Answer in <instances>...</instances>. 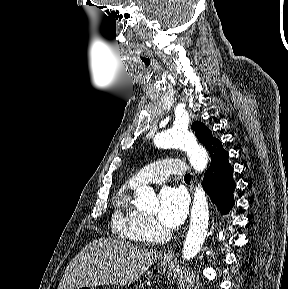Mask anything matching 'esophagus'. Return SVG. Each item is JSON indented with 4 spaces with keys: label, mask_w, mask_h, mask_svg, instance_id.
<instances>
[{
    "label": "esophagus",
    "mask_w": 288,
    "mask_h": 289,
    "mask_svg": "<svg viewBox=\"0 0 288 289\" xmlns=\"http://www.w3.org/2000/svg\"><path fill=\"white\" fill-rule=\"evenodd\" d=\"M174 257V250L173 248H170L169 250H167L163 256H162V260L163 261H168V260H172Z\"/></svg>",
    "instance_id": "1"
}]
</instances>
